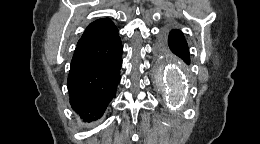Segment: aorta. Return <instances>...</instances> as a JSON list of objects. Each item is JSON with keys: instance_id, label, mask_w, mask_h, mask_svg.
Returning <instances> with one entry per match:
<instances>
[{"instance_id": "1", "label": "aorta", "mask_w": 260, "mask_h": 144, "mask_svg": "<svg viewBox=\"0 0 260 144\" xmlns=\"http://www.w3.org/2000/svg\"><path fill=\"white\" fill-rule=\"evenodd\" d=\"M162 84L168 91L171 103L181 100L185 92V82L181 70L172 63H166L162 67Z\"/></svg>"}]
</instances>
